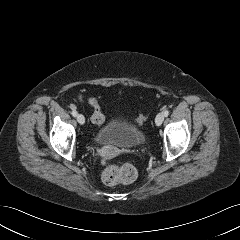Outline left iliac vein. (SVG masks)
I'll return each instance as SVG.
<instances>
[{
  "label": "left iliac vein",
  "mask_w": 240,
  "mask_h": 240,
  "mask_svg": "<svg viewBox=\"0 0 240 240\" xmlns=\"http://www.w3.org/2000/svg\"><path fill=\"white\" fill-rule=\"evenodd\" d=\"M164 121V114L163 113H158L156 118H155V123L157 126H160Z\"/></svg>",
  "instance_id": "obj_1"
}]
</instances>
